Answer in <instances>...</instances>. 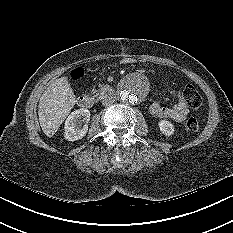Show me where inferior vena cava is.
Segmentation results:
<instances>
[{
    "mask_svg": "<svg viewBox=\"0 0 233 233\" xmlns=\"http://www.w3.org/2000/svg\"><path fill=\"white\" fill-rule=\"evenodd\" d=\"M115 101H116V96L110 95V96L105 97V98L102 100V105L108 106V105L113 104Z\"/></svg>",
    "mask_w": 233,
    "mask_h": 233,
    "instance_id": "1",
    "label": "inferior vena cava"
}]
</instances>
